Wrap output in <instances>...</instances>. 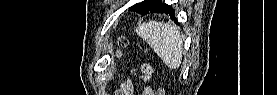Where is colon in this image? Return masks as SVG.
<instances>
[{
	"mask_svg": "<svg viewBox=\"0 0 277 95\" xmlns=\"http://www.w3.org/2000/svg\"><path fill=\"white\" fill-rule=\"evenodd\" d=\"M127 42H128V40H127L126 37H120V38L118 39V44H119L120 46H125V45L127 44Z\"/></svg>",
	"mask_w": 277,
	"mask_h": 95,
	"instance_id": "obj_1",
	"label": "colon"
}]
</instances>
